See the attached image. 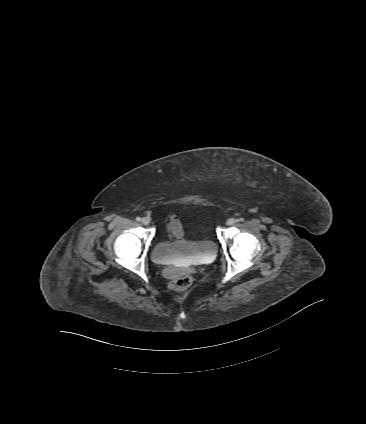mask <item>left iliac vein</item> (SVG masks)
<instances>
[{"mask_svg":"<svg viewBox=\"0 0 366 424\" xmlns=\"http://www.w3.org/2000/svg\"><path fill=\"white\" fill-rule=\"evenodd\" d=\"M235 222H236V220H235L234 218H229V219L226 221V224H227V225H229V226H231V225H234V224H235Z\"/></svg>","mask_w":366,"mask_h":424,"instance_id":"4c4485c4","label":"left iliac vein"}]
</instances>
